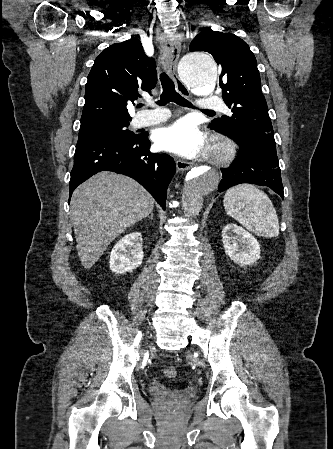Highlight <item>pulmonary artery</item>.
Segmentation results:
<instances>
[{
  "mask_svg": "<svg viewBox=\"0 0 333 449\" xmlns=\"http://www.w3.org/2000/svg\"><path fill=\"white\" fill-rule=\"evenodd\" d=\"M199 110H210L224 107L222 100L215 95L203 96L198 102ZM169 113L166 110H146L141 112L135 119V125L138 127L149 126L166 120Z\"/></svg>",
  "mask_w": 333,
  "mask_h": 449,
  "instance_id": "obj_1",
  "label": "pulmonary artery"
}]
</instances>
